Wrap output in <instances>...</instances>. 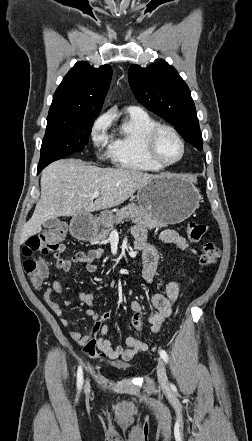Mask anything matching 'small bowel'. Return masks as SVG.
Returning <instances> with one entry per match:
<instances>
[{
	"mask_svg": "<svg viewBox=\"0 0 252 441\" xmlns=\"http://www.w3.org/2000/svg\"><path fill=\"white\" fill-rule=\"evenodd\" d=\"M135 237V243L137 249L143 251V267L142 278L148 284H152L157 264L159 260V254L157 249L148 242V237L145 229L136 227L132 230ZM160 239L165 243H173L183 250H190L189 243L185 238L180 236L174 230H164L159 235ZM102 254L101 250H91L88 253L76 252L72 258L65 259L61 256V252L55 254V267L59 271L68 273L73 263H81L89 273H94L97 270L95 260ZM62 293V285L57 277H55L51 286L47 288L43 293V299L49 308L55 315L61 317V323L65 327L70 326L69 320L63 317V308L53 299L52 294ZM180 293L179 284L175 281L168 283L165 293H151V303L154 307V311L150 314L148 321L151 325L153 332H158L165 323L166 319L171 315L174 303L176 302ZM81 303L86 307V315L92 320H97L100 317V312L93 308L95 297L92 293H86L79 291L78 293ZM66 305H70L69 300H65ZM130 310L132 312L141 311L142 307L140 302L134 300L130 302ZM70 337L80 344H84L88 338L83 336L79 331L71 330L69 332ZM107 327L102 328V335L98 339V347L104 356L110 359H123L129 361L133 359L138 353L146 351L147 345L134 338L128 337L126 339V346H114L112 341L106 337Z\"/></svg>",
	"mask_w": 252,
	"mask_h": 441,
	"instance_id": "c3829d8e",
	"label": "small bowel"
}]
</instances>
